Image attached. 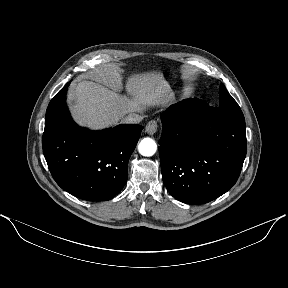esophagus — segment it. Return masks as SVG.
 <instances>
[{"mask_svg": "<svg viewBox=\"0 0 288 288\" xmlns=\"http://www.w3.org/2000/svg\"><path fill=\"white\" fill-rule=\"evenodd\" d=\"M158 129V123L155 120H151L147 123L145 127V132H147L149 135H153L156 133Z\"/></svg>", "mask_w": 288, "mask_h": 288, "instance_id": "obj_1", "label": "esophagus"}]
</instances>
